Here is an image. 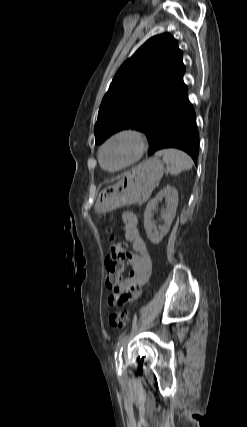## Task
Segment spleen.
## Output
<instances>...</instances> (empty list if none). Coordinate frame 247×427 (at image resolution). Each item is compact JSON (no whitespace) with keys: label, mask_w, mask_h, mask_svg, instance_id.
Returning a JSON list of instances; mask_svg holds the SVG:
<instances>
[{"label":"spleen","mask_w":247,"mask_h":427,"mask_svg":"<svg viewBox=\"0 0 247 427\" xmlns=\"http://www.w3.org/2000/svg\"><path fill=\"white\" fill-rule=\"evenodd\" d=\"M157 157L162 156L163 161L167 164L168 171L177 175L184 170H190L193 162L190 156L185 152L173 148L163 149L155 154Z\"/></svg>","instance_id":"obj_1"}]
</instances>
